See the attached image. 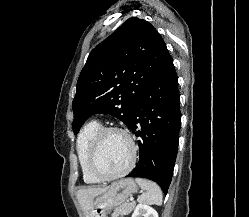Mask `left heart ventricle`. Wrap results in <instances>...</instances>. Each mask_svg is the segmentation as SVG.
Returning <instances> with one entry per match:
<instances>
[{
	"label": "left heart ventricle",
	"instance_id": "left-heart-ventricle-1",
	"mask_svg": "<svg viewBox=\"0 0 249 217\" xmlns=\"http://www.w3.org/2000/svg\"><path fill=\"white\" fill-rule=\"evenodd\" d=\"M131 147L128 140L119 133H108L101 140L96 165L105 174L123 170L129 163Z\"/></svg>",
	"mask_w": 249,
	"mask_h": 217
}]
</instances>
